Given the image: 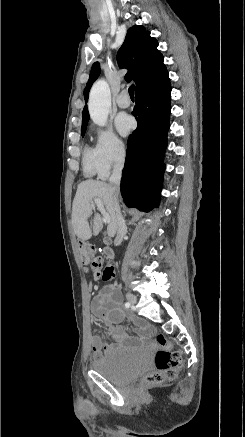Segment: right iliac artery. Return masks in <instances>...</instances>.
Listing matches in <instances>:
<instances>
[{
	"label": "right iliac artery",
	"instance_id": "obj_1",
	"mask_svg": "<svg viewBox=\"0 0 245 437\" xmlns=\"http://www.w3.org/2000/svg\"><path fill=\"white\" fill-rule=\"evenodd\" d=\"M125 307L129 308L130 307V303L129 302L125 303Z\"/></svg>",
	"mask_w": 245,
	"mask_h": 437
}]
</instances>
